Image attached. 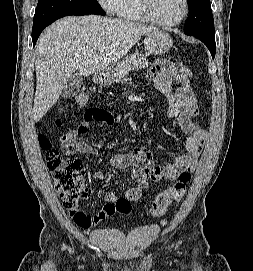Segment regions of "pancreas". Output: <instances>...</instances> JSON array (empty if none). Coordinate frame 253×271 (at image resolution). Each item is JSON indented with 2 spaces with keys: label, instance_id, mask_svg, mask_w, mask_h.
<instances>
[{
  "label": "pancreas",
  "instance_id": "cf45deb5",
  "mask_svg": "<svg viewBox=\"0 0 253 271\" xmlns=\"http://www.w3.org/2000/svg\"><path fill=\"white\" fill-rule=\"evenodd\" d=\"M149 66L146 56L141 53L131 54L120 61L114 71V82L118 83L130 70L144 69Z\"/></svg>",
  "mask_w": 253,
  "mask_h": 271
}]
</instances>
